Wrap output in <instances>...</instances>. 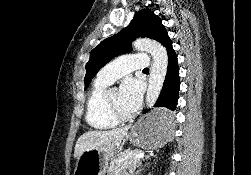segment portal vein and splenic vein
<instances>
[{
	"instance_id": "18ae733b",
	"label": "portal vein and splenic vein",
	"mask_w": 251,
	"mask_h": 175,
	"mask_svg": "<svg viewBox=\"0 0 251 175\" xmlns=\"http://www.w3.org/2000/svg\"><path fill=\"white\" fill-rule=\"evenodd\" d=\"M141 157H144V153H136V155L134 156L135 160H140Z\"/></svg>"
}]
</instances>
